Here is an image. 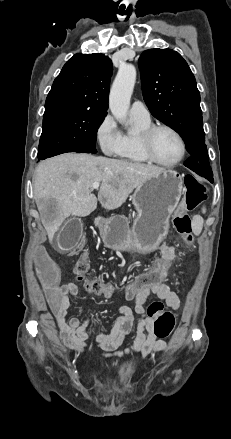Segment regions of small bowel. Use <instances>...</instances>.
Returning <instances> with one entry per match:
<instances>
[{"mask_svg":"<svg viewBox=\"0 0 231 439\" xmlns=\"http://www.w3.org/2000/svg\"><path fill=\"white\" fill-rule=\"evenodd\" d=\"M169 257L175 258V251L172 247L164 245L161 250V255L157 259ZM139 291L136 298H126L127 300H134L135 305L134 307L123 305L119 308L118 316L109 333H100L91 337L87 333V328L92 319L91 314L83 321H80L76 317L67 318L71 297H77L79 295L78 286L72 282L58 286V293L64 295V307L60 313H53V315L64 348L68 352L80 354L85 350L87 342L93 340L102 350L106 358H124L133 353H140L142 359L165 350L167 342L157 339L153 332L154 318L163 310L162 302L175 311L180 307V299L178 295L171 290L169 283H151L149 286L140 288ZM152 292L162 302H154L146 308L145 303L150 296L149 294ZM135 315H139V319L136 323L135 339L131 345L120 349L125 336L131 332L135 324Z\"/></svg>","mask_w":231,"mask_h":439,"instance_id":"c3829d8e","label":"small bowel"}]
</instances>
